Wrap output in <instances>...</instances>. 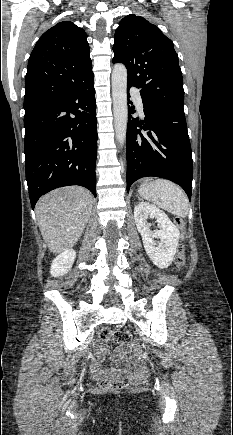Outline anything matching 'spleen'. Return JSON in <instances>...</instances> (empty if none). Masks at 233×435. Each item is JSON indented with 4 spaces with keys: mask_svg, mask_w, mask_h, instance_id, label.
Instances as JSON below:
<instances>
[{
    "mask_svg": "<svg viewBox=\"0 0 233 435\" xmlns=\"http://www.w3.org/2000/svg\"><path fill=\"white\" fill-rule=\"evenodd\" d=\"M140 196L152 201L158 207L179 217L188 214V199L173 182L165 179L144 182L138 190Z\"/></svg>",
    "mask_w": 233,
    "mask_h": 435,
    "instance_id": "3e777b00",
    "label": "spleen"
}]
</instances>
